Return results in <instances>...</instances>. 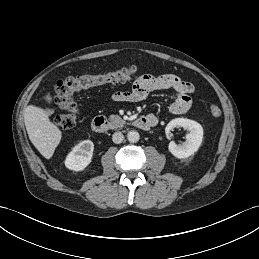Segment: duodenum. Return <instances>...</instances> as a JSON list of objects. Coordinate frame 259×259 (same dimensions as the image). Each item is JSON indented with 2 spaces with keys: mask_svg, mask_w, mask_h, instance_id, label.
<instances>
[{
  "mask_svg": "<svg viewBox=\"0 0 259 259\" xmlns=\"http://www.w3.org/2000/svg\"><path fill=\"white\" fill-rule=\"evenodd\" d=\"M156 121V117L142 116L135 121V124L138 128L146 129L155 125ZM91 127L95 132L104 133L109 129V122L106 117L98 116L92 120Z\"/></svg>",
  "mask_w": 259,
  "mask_h": 259,
  "instance_id": "410a0bca",
  "label": "duodenum"
}]
</instances>
